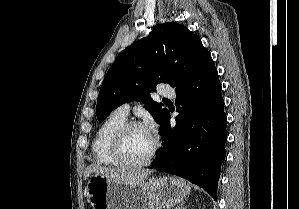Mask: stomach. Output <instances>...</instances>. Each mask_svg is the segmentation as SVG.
Masks as SVG:
<instances>
[{"mask_svg":"<svg viewBox=\"0 0 299 209\" xmlns=\"http://www.w3.org/2000/svg\"><path fill=\"white\" fill-rule=\"evenodd\" d=\"M86 190L94 209H165L181 203L190 193L189 185L178 178L160 177L129 184L100 174L90 177Z\"/></svg>","mask_w":299,"mask_h":209,"instance_id":"obj_1","label":"stomach"}]
</instances>
